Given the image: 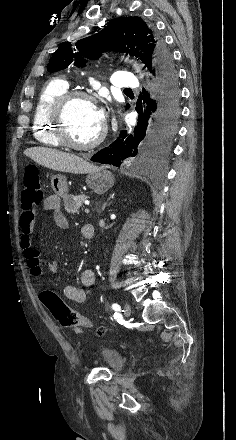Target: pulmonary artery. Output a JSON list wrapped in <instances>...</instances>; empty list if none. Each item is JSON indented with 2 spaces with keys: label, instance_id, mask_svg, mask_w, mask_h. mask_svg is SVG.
Here are the masks:
<instances>
[{
  "label": "pulmonary artery",
  "instance_id": "obj_1",
  "mask_svg": "<svg viewBox=\"0 0 236 440\" xmlns=\"http://www.w3.org/2000/svg\"><path fill=\"white\" fill-rule=\"evenodd\" d=\"M112 85L121 89H135L137 80L132 73L117 71L111 76Z\"/></svg>",
  "mask_w": 236,
  "mask_h": 440
}]
</instances>
